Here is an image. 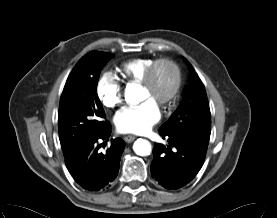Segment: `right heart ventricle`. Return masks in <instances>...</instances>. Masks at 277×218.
Returning a JSON list of instances; mask_svg holds the SVG:
<instances>
[{
  "label": "right heart ventricle",
  "mask_w": 277,
  "mask_h": 218,
  "mask_svg": "<svg viewBox=\"0 0 277 218\" xmlns=\"http://www.w3.org/2000/svg\"><path fill=\"white\" fill-rule=\"evenodd\" d=\"M149 58H138L126 62L123 65V71L133 80H143L146 71L151 63Z\"/></svg>",
  "instance_id": "1"
}]
</instances>
